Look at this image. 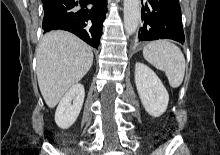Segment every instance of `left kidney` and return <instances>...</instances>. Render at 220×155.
Instances as JSON below:
<instances>
[{
  "label": "left kidney",
  "mask_w": 220,
  "mask_h": 155,
  "mask_svg": "<svg viewBox=\"0 0 220 155\" xmlns=\"http://www.w3.org/2000/svg\"><path fill=\"white\" fill-rule=\"evenodd\" d=\"M135 84L145 110L153 117L161 116L167 109L169 95L158 76L147 65H135Z\"/></svg>",
  "instance_id": "1"
}]
</instances>
